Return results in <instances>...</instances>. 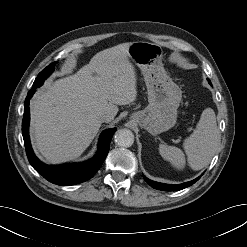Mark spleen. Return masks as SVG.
Returning <instances> with one entry per match:
<instances>
[{
  "instance_id": "spleen-1",
  "label": "spleen",
  "mask_w": 247,
  "mask_h": 247,
  "mask_svg": "<svg viewBox=\"0 0 247 247\" xmlns=\"http://www.w3.org/2000/svg\"><path fill=\"white\" fill-rule=\"evenodd\" d=\"M219 141L216 117L213 109L206 108L194 132L184 140L187 162L193 170L204 168L212 159ZM160 155L174 167L182 169L186 163L185 154L175 146L161 144Z\"/></svg>"
}]
</instances>
